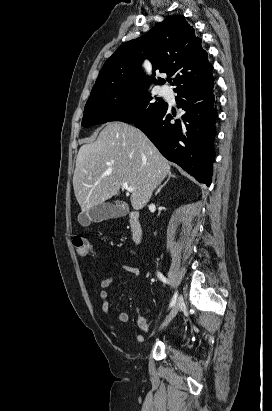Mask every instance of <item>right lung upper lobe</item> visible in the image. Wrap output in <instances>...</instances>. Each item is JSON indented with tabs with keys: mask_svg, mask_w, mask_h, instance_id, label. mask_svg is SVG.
<instances>
[{
	"mask_svg": "<svg viewBox=\"0 0 272 411\" xmlns=\"http://www.w3.org/2000/svg\"><path fill=\"white\" fill-rule=\"evenodd\" d=\"M147 58L153 73L159 71L176 75L174 91L189 85H198L210 78L212 65L201 48V39L183 16H170L138 39L126 42L105 62L92 91L116 85L148 86L154 76L142 70ZM156 81V80H155ZM159 78L156 84H164Z\"/></svg>",
	"mask_w": 272,
	"mask_h": 411,
	"instance_id": "right-lung-upper-lobe-1",
	"label": "right lung upper lobe"
}]
</instances>
